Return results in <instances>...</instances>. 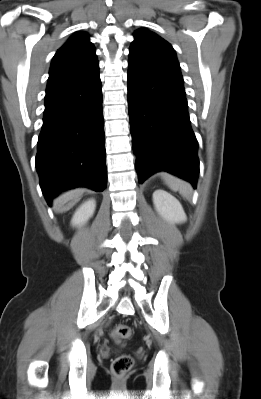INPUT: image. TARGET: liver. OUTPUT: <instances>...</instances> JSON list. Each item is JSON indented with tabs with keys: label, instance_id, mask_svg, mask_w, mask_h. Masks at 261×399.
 I'll return each instance as SVG.
<instances>
[{
	"label": "liver",
	"instance_id": "obj_1",
	"mask_svg": "<svg viewBox=\"0 0 261 399\" xmlns=\"http://www.w3.org/2000/svg\"><path fill=\"white\" fill-rule=\"evenodd\" d=\"M82 193H83V190H81V189H76V190L68 191V192L62 194V195L55 201V203H57V204H59V205H62V204L66 203V202H68V201H70V200L78 199V198L82 195ZM64 210H66V209H63V211H64Z\"/></svg>",
	"mask_w": 261,
	"mask_h": 399
}]
</instances>
